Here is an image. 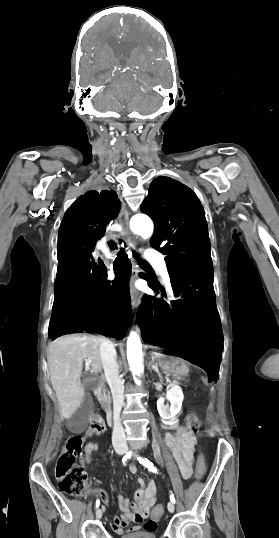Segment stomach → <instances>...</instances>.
Returning a JSON list of instances; mask_svg holds the SVG:
<instances>
[{
  "mask_svg": "<svg viewBox=\"0 0 279 538\" xmlns=\"http://www.w3.org/2000/svg\"><path fill=\"white\" fill-rule=\"evenodd\" d=\"M157 364L165 368L170 374H186L188 367L184 358H180L179 353H158L153 352Z\"/></svg>",
  "mask_w": 279,
  "mask_h": 538,
  "instance_id": "obj_1",
  "label": "stomach"
}]
</instances>
